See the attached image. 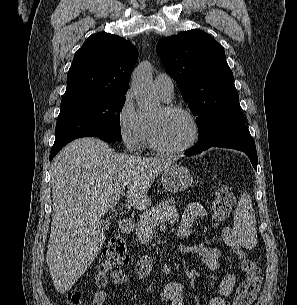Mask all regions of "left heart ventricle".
<instances>
[{
	"label": "left heart ventricle",
	"mask_w": 297,
	"mask_h": 305,
	"mask_svg": "<svg viewBox=\"0 0 297 305\" xmlns=\"http://www.w3.org/2000/svg\"><path fill=\"white\" fill-rule=\"evenodd\" d=\"M158 140L168 148L186 144L193 134L191 121L181 113H167L163 108L152 117Z\"/></svg>",
	"instance_id": "obj_1"
}]
</instances>
